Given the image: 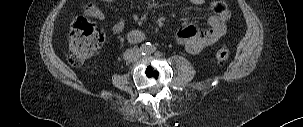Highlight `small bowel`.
I'll use <instances>...</instances> for the list:
<instances>
[{
	"label": "small bowel",
	"mask_w": 303,
	"mask_h": 127,
	"mask_svg": "<svg viewBox=\"0 0 303 127\" xmlns=\"http://www.w3.org/2000/svg\"><path fill=\"white\" fill-rule=\"evenodd\" d=\"M102 2L110 3L114 0H101ZM198 1V0H192ZM88 13L93 18L103 21L105 19L104 11L96 4H92L88 8ZM230 13L227 9H221L217 15L211 16L208 20L209 28L206 30L199 29L195 25L189 24L182 28L180 40L184 44L189 53L195 54L201 51L206 45L218 40L226 30L225 21L229 18ZM135 20L141 22V18L136 16ZM125 21L119 19L113 24L112 30L114 33H120L125 28ZM127 38L132 43L141 42L144 39V33L138 28L131 29Z\"/></svg>",
	"instance_id": "c3829d8e"
}]
</instances>
